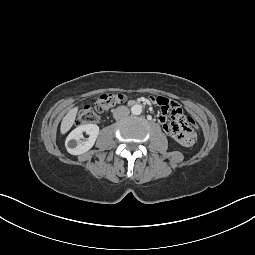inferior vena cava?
Here are the masks:
<instances>
[{"label": "inferior vena cava", "instance_id": "602c4592", "mask_svg": "<svg viewBox=\"0 0 255 255\" xmlns=\"http://www.w3.org/2000/svg\"><path fill=\"white\" fill-rule=\"evenodd\" d=\"M130 113L128 107L126 106H119L117 107L116 109H114L113 111V117L114 119H121V118H124L126 116H128Z\"/></svg>", "mask_w": 255, "mask_h": 255}]
</instances>
